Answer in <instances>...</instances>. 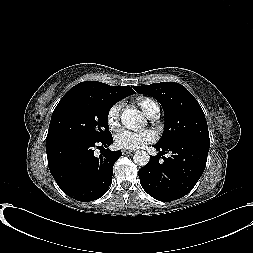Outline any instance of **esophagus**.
<instances>
[{"label": "esophagus", "mask_w": 253, "mask_h": 253, "mask_svg": "<svg viewBox=\"0 0 253 253\" xmlns=\"http://www.w3.org/2000/svg\"><path fill=\"white\" fill-rule=\"evenodd\" d=\"M122 153H123V155H132L133 153H135V151H132V150H123Z\"/></svg>", "instance_id": "obj_1"}]
</instances>
